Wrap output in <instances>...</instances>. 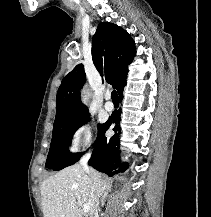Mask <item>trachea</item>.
I'll use <instances>...</instances> for the list:
<instances>
[{
    "label": "trachea",
    "mask_w": 211,
    "mask_h": 217,
    "mask_svg": "<svg viewBox=\"0 0 211 217\" xmlns=\"http://www.w3.org/2000/svg\"><path fill=\"white\" fill-rule=\"evenodd\" d=\"M111 98H112L113 102H119V97H118V94H117L116 90L112 91Z\"/></svg>",
    "instance_id": "1"
}]
</instances>
